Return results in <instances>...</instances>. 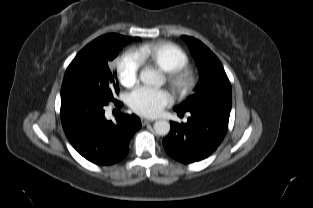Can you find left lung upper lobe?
<instances>
[{
  "label": "left lung upper lobe",
  "mask_w": 313,
  "mask_h": 208,
  "mask_svg": "<svg viewBox=\"0 0 313 208\" xmlns=\"http://www.w3.org/2000/svg\"><path fill=\"white\" fill-rule=\"evenodd\" d=\"M196 60L200 79L194 94L174 109L186 112L204 107L231 110L232 88L216 55L201 41L182 36Z\"/></svg>",
  "instance_id": "left-lung-upper-lobe-1"
}]
</instances>
